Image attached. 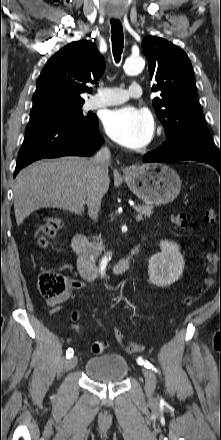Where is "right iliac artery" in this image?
Wrapping results in <instances>:
<instances>
[{"label": "right iliac artery", "instance_id": "82829eb1", "mask_svg": "<svg viewBox=\"0 0 221 440\" xmlns=\"http://www.w3.org/2000/svg\"><path fill=\"white\" fill-rule=\"evenodd\" d=\"M72 356H73V350H72L71 348H69V349L66 351V358H67V359H70Z\"/></svg>", "mask_w": 221, "mask_h": 440}]
</instances>
